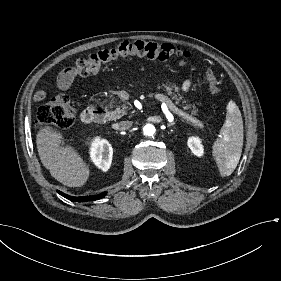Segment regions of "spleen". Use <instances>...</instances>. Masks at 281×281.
<instances>
[{
    "label": "spleen",
    "instance_id": "obj_1",
    "mask_svg": "<svg viewBox=\"0 0 281 281\" xmlns=\"http://www.w3.org/2000/svg\"><path fill=\"white\" fill-rule=\"evenodd\" d=\"M222 137L212 146V158L221 178L230 176L236 169L243 148V120L238 106L229 102Z\"/></svg>",
    "mask_w": 281,
    "mask_h": 281
}]
</instances>
